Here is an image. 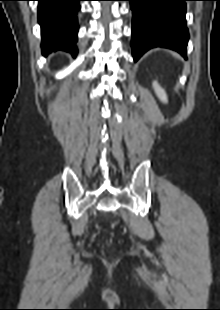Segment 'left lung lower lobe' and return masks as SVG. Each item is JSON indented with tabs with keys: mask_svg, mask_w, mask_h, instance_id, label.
<instances>
[{
	"mask_svg": "<svg viewBox=\"0 0 220 310\" xmlns=\"http://www.w3.org/2000/svg\"><path fill=\"white\" fill-rule=\"evenodd\" d=\"M131 3L132 53L137 61L155 47L177 51L185 59L189 32L186 26V1L127 0Z\"/></svg>",
	"mask_w": 220,
	"mask_h": 310,
	"instance_id": "left-lung-lower-lobe-1",
	"label": "left lung lower lobe"
}]
</instances>
